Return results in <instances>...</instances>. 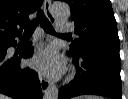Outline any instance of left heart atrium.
<instances>
[{
	"label": "left heart atrium",
	"mask_w": 128,
	"mask_h": 99,
	"mask_svg": "<svg viewBox=\"0 0 128 99\" xmlns=\"http://www.w3.org/2000/svg\"><path fill=\"white\" fill-rule=\"evenodd\" d=\"M31 65L41 74L48 77L58 76L63 70V60L56 51L51 48L40 50L32 59Z\"/></svg>",
	"instance_id": "39dd6f15"
}]
</instances>
